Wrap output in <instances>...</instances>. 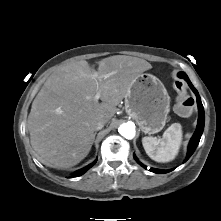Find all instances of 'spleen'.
<instances>
[{
    "instance_id": "1",
    "label": "spleen",
    "mask_w": 221,
    "mask_h": 221,
    "mask_svg": "<svg viewBox=\"0 0 221 221\" xmlns=\"http://www.w3.org/2000/svg\"><path fill=\"white\" fill-rule=\"evenodd\" d=\"M182 127L173 123L163 133L162 138L143 137L142 145L146 154L156 162H170L177 156L182 142Z\"/></svg>"
}]
</instances>
